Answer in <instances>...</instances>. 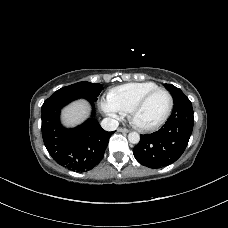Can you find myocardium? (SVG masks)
Here are the masks:
<instances>
[{"label": "myocardium", "mask_w": 228, "mask_h": 228, "mask_svg": "<svg viewBox=\"0 0 228 228\" xmlns=\"http://www.w3.org/2000/svg\"><path fill=\"white\" fill-rule=\"evenodd\" d=\"M157 92H165L168 96V107H167L165 114L159 121H157L156 123H154L152 125L143 126V125L138 124L135 120L136 113L138 112V110L140 108H142L144 106V104L150 99V97H152ZM173 105H174V101H173L172 94L167 89L158 87V88H155V89L147 92L131 107V109L129 111V118H130L132 124L137 129H139L141 131H146V132L154 131V130H157L158 128H160L167 121V119L169 118V116L172 112Z\"/></svg>", "instance_id": "1"}]
</instances>
